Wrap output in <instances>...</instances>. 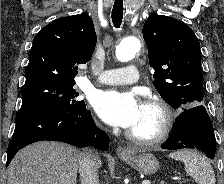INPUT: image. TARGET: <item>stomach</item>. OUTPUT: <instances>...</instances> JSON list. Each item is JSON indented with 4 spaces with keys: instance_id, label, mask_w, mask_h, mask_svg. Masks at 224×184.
<instances>
[{
    "instance_id": "0dacf381",
    "label": "stomach",
    "mask_w": 224,
    "mask_h": 184,
    "mask_svg": "<svg viewBox=\"0 0 224 184\" xmlns=\"http://www.w3.org/2000/svg\"><path fill=\"white\" fill-rule=\"evenodd\" d=\"M122 161L129 164L133 169L145 175H151L159 169L156 158L149 153L133 154L129 157H120Z\"/></svg>"
}]
</instances>
